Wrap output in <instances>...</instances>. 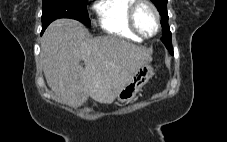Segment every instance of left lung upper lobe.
<instances>
[{
  "label": "left lung upper lobe",
  "mask_w": 227,
  "mask_h": 142,
  "mask_svg": "<svg viewBox=\"0 0 227 142\" xmlns=\"http://www.w3.org/2000/svg\"><path fill=\"white\" fill-rule=\"evenodd\" d=\"M157 7L160 15L162 16V32L163 36L161 38L162 42L165 44L166 48L173 53L172 42H171V32L168 25V14H167V2L168 0H151Z\"/></svg>",
  "instance_id": "1"
}]
</instances>
